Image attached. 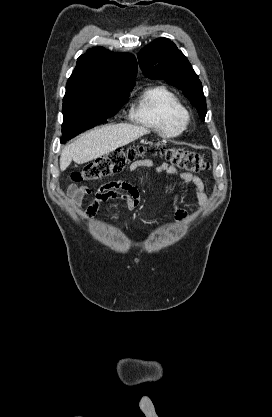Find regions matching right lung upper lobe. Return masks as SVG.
Instances as JSON below:
<instances>
[{
  "label": "right lung upper lobe",
  "mask_w": 272,
  "mask_h": 417,
  "mask_svg": "<svg viewBox=\"0 0 272 417\" xmlns=\"http://www.w3.org/2000/svg\"><path fill=\"white\" fill-rule=\"evenodd\" d=\"M137 70L136 58L130 53H112L102 47L89 49L78 58L63 101L132 90Z\"/></svg>",
  "instance_id": "right-lung-upper-lobe-1"
}]
</instances>
